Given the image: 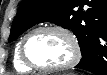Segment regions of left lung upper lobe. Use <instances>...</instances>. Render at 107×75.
Masks as SVG:
<instances>
[{
  "mask_svg": "<svg viewBox=\"0 0 107 75\" xmlns=\"http://www.w3.org/2000/svg\"><path fill=\"white\" fill-rule=\"evenodd\" d=\"M84 0H22L12 23L9 42L36 23L50 21L71 29L76 35L81 52L83 34L95 23L94 33L100 41L107 40V16L98 21L97 15L83 11Z\"/></svg>",
  "mask_w": 107,
  "mask_h": 75,
  "instance_id": "1",
  "label": "left lung upper lobe"
}]
</instances>
